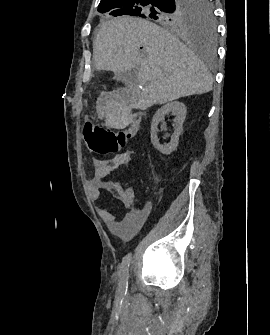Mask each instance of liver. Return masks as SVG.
<instances>
[{
  "instance_id": "6515ba94",
  "label": "liver",
  "mask_w": 270,
  "mask_h": 335,
  "mask_svg": "<svg viewBox=\"0 0 270 335\" xmlns=\"http://www.w3.org/2000/svg\"><path fill=\"white\" fill-rule=\"evenodd\" d=\"M139 48H144L143 54ZM96 70L136 74L145 106L166 104L212 90L213 78L198 56L168 30L142 18L103 22L93 44Z\"/></svg>"
}]
</instances>
